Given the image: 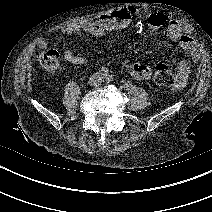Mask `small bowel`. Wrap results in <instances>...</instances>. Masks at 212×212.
Listing matches in <instances>:
<instances>
[{
    "mask_svg": "<svg viewBox=\"0 0 212 212\" xmlns=\"http://www.w3.org/2000/svg\"><path fill=\"white\" fill-rule=\"evenodd\" d=\"M138 15L139 11L135 7H122L111 12H104L95 18L66 24L61 26L59 31L67 35L102 37L108 32L126 28ZM146 20L147 23L154 28L166 26L167 37L180 48L183 57L176 67L172 87L173 89L182 88L192 73L190 60L199 57V48L196 40L187 34V22L181 18H170L166 14L154 12L147 13ZM137 24V26L140 27V24ZM37 43L41 49L48 47L46 38H39ZM63 56L66 61L75 65L88 63L86 57L75 54L69 48H64ZM124 68L137 80L149 79L151 75V69L145 63L131 62L125 64Z\"/></svg>",
    "mask_w": 212,
    "mask_h": 212,
    "instance_id": "obj_1",
    "label": "small bowel"
}]
</instances>
